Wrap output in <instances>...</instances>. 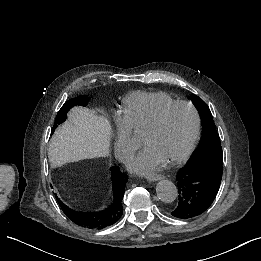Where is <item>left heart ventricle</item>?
Wrapping results in <instances>:
<instances>
[{
	"mask_svg": "<svg viewBox=\"0 0 261 261\" xmlns=\"http://www.w3.org/2000/svg\"><path fill=\"white\" fill-rule=\"evenodd\" d=\"M194 116L186 108L173 106L157 118L135 128L138 141L149 144L161 159L179 153L188 143L193 129Z\"/></svg>",
	"mask_w": 261,
	"mask_h": 261,
	"instance_id": "1",
	"label": "left heart ventricle"
}]
</instances>
